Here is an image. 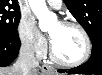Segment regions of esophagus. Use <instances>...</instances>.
Instances as JSON below:
<instances>
[{
  "mask_svg": "<svg viewBox=\"0 0 102 75\" xmlns=\"http://www.w3.org/2000/svg\"><path fill=\"white\" fill-rule=\"evenodd\" d=\"M42 71L45 74H52L54 72V69L51 66H49V65H43L42 66Z\"/></svg>",
  "mask_w": 102,
  "mask_h": 75,
  "instance_id": "esophagus-1",
  "label": "esophagus"
}]
</instances>
